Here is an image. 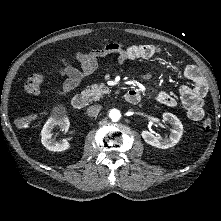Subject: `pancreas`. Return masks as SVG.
<instances>
[{
  "label": "pancreas",
  "instance_id": "1",
  "mask_svg": "<svg viewBox=\"0 0 221 221\" xmlns=\"http://www.w3.org/2000/svg\"><path fill=\"white\" fill-rule=\"evenodd\" d=\"M109 92V88L103 84H93L88 86L85 90L82 91V95L87 97L90 101H97L102 98L103 94Z\"/></svg>",
  "mask_w": 221,
  "mask_h": 221
}]
</instances>
